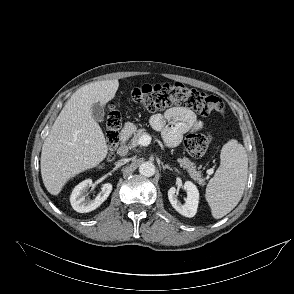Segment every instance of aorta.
Returning a JSON list of instances; mask_svg holds the SVG:
<instances>
[{"instance_id": "aorta-1", "label": "aorta", "mask_w": 294, "mask_h": 294, "mask_svg": "<svg viewBox=\"0 0 294 294\" xmlns=\"http://www.w3.org/2000/svg\"><path fill=\"white\" fill-rule=\"evenodd\" d=\"M139 172L145 177H151L155 174V165L152 162H143L139 166Z\"/></svg>"}]
</instances>
